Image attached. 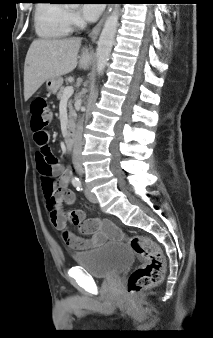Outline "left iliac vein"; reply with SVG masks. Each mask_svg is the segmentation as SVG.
<instances>
[{
  "instance_id": "left-iliac-vein-1",
  "label": "left iliac vein",
  "mask_w": 213,
  "mask_h": 338,
  "mask_svg": "<svg viewBox=\"0 0 213 338\" xmlns=\"http://www.w3.org/2000/svg\"><path fill=\"white\" fill-rule=\"evenodd\" d=\"M85 194H86V196H87V198L90 202H92V203L98 202L96 195L93 192H91L89 189L86 188Z\"/></svg>"
}]
</instances>
